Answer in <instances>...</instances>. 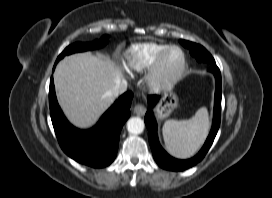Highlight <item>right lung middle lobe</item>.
Masks as SVG:
<instances>
[{"label":"right lung middle lobe","instance_id":"1","mask_svg":"<svg viewBox=\"0 0 272 198\" xmlns=\"http://www.w3.org/2000/svg\"><path fill=\"white\" fill-rule=\"evenodd\" d=\"M107 42H108V35H104L103 37H101L99 41H95L94 43H80V42L74 43L64 49V51L58 56L56 62L62 59L65 55L99 48L104 46Z\"/></svg>","mask_w":272,"mask_h":198}]
</instances>
